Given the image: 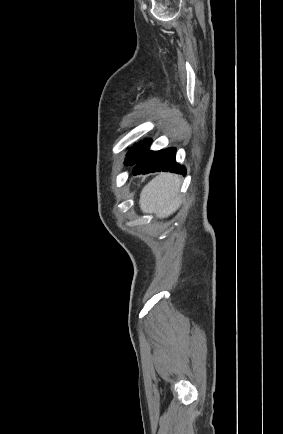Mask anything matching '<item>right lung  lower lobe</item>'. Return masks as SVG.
<instances>
[{"instance_id": "obj_1", "label": "right lung lower lobe", "mask_w": 283, "mask_h": 434, "mask_svg": "<svg viewBox=\"0 0 283 434\" xmlns=\"http://www.w3.org/2000/svg\"><path fill=\"white\" fill-rule=\"evenodd\" d=\"M176 149L168 148L161 151L147 152L133 168V174H148L156 171H170L186 174V169L176 163Z\"/></svg>"}]
</instances>
